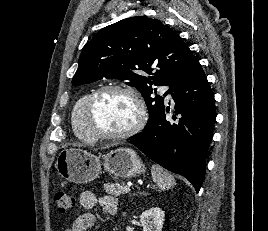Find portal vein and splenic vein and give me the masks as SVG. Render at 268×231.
<instances>
[{"label": "portal vein and splenic vein", "mask_w": 268, "mask_h": 231, "mask_svg": "<svg viewBox=\"0 0 268 231\" xmlns=\"http://www.w3.org/2000/svg\"><path fill=\"white\" fill-rule=\"evenodd\" d=\"M130 191V187L129 186H125L124 187V192L128 193Z\"/></svg>", "instance_id": "1"}]
</instances>
